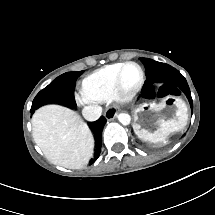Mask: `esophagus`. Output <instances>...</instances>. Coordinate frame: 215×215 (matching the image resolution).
<instances>
[{
    "label": "esophagus",
    "mask_w": 215,
    "mask_h": 215,
    "mask_svg": "<svg viewBox=\"0 0 215 215\" xmlns=\"http://www.w3.org/2000/svg\"><path fill=\"white\" fill-rule=\"evenodd\" d=\"M117 115V109L115 108V105L110 106L109 109H107L104 113V116L108 121H112Z\"/></svg>",
    "instance_id": "1"
}]
</instances>
